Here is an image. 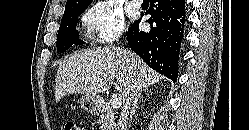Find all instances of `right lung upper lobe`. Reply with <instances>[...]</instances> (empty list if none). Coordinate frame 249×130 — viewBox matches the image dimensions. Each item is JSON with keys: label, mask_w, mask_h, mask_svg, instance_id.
Returning a JSON list of instances; mask_svg holds the SVG:
<instances>
[{"label": "right lung upper lobe", "mask_w": 249, "mask_h": 130, "mask_svg": "<svg viewBox=\"0 0 249 130\" xmlns=\"http://www.w3.org/2000/svg\"><path fill=\"white\" fill-rule=\"evenodd\" d=\"M92 0H67L66 6L69 7H88Z\"/></svg>", "instance_id": "obj_1"}]
</instances>
